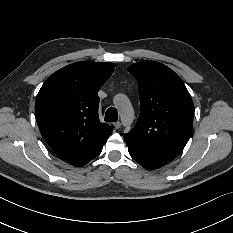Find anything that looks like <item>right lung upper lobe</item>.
Here are the masks:
<instances>
[{"label":"right lung upper lobe","mask_w":233,"mask_h":233,"mask_svg":"<svg viewBox=\"0 0 233 233\" xmlns=\"http://www.w3.org/2000/svg\"><path fill=\"white\" fill-rule=\"evenodd\" d=\"M113 63L76 62L53 73L35 103L42 137L58 158L83 166L98 156L112 128L98 117V91Z\"/></svg>","instance_id":"obj_1"}]
</instances>
